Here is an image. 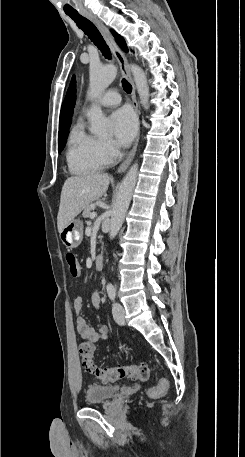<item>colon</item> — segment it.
Instances as JSON below:
<instances>
[{
	"mask_svg": "<svg viewBox=\"0 0 245 457\" xmlns=\"http://www.w3.org/2000/svg\"><path fill=\"white\" fill-rule=\"evenodd\" d=\"M66 262L70 274L73 277H78L81 270L77 256L74 253L68 252L66 254ZM78 351L83 369L103 382H116L123 378L146 381L149 378V368L145 364H130L104 368L98 367L93 360L95 345L91 341L82 342L79 345ZM167 389L168 382L167 380L162 379L156 387L149 389V394L161 395L165 393Z\"/></svg>",
	"mask_w": 245,
	"mask_h": 457,
	"instance_id": "colon-1",
	"label": "colon"
}]
</instances>
